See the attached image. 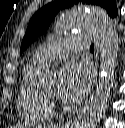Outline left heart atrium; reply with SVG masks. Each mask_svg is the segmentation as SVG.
<instances>
[{
    "instance_id": "obj_1",
    "label": "left heart atrium",
    "mask_w": 125,
    "mask_h": 128,
    "mask_svg": "<svg viewBox=\"0 0 125 128\" xmlns=\"http://www.w3.org/2000/svg\"><path fill=\"white\" fill-rule=\"evenodd\" d=\"M92 80L88 65L70 62L61 70L58 95L67 103L77 102L87 93Z\"/></svg>"
}]
</instances>
